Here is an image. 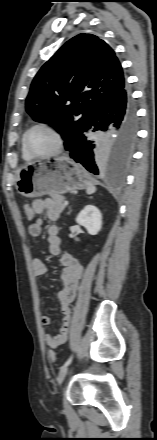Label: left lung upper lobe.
Returning a JSON list of instances; mask_svg holds the SVG:
<instances>
[{"label": "left lung upper lobe", "instance_id": "left-lung-upper-lobe-1", "mask_svg": "<svg viewBox=\"0 0 157 440\" xmlns=\"http://www.w3.org/2000/svg\"><path fill=\"white\" fill-rule=\"evenodd\" d=\"M124 87L123 70L112 48L99 37L82 33L38 71L26 110L35 121L54 124L68 150L95 108Z\"/></svg>", "mask_w": 157, "mask_h": 440}]
</instances>
